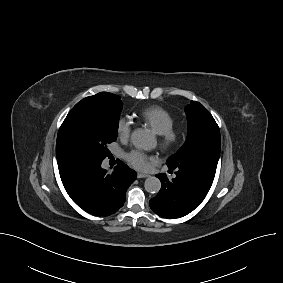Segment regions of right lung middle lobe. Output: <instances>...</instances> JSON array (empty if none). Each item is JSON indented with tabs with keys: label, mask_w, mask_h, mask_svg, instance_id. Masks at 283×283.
<instances>
[{
	"label": "right lung middle lobe",
	"mask_w": 283,
	"mask_h": 283,
	"mask_svg": "<svg viewBox=\"0 0 283 283\" xmlns=\"http://www.w3.org/2000/svg\"><path fill=\"white\" fill-rule=\"evenodd\" d=\"M120 96L100 92L78 102L62 123L56 142L58 166L73 158L103 160L117 139Z\"/></svg>",
	"instance_id": "dd1d6c3e"
}]
</instances>
